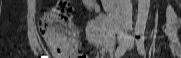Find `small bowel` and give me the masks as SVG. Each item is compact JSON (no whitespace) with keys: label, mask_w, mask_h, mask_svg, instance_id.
<instances>
[{"label":"small bowel","mask_w":181,"mask_h":58,"mask_svg":"<svg viewBox=\"0 0 181 58\" xmlns=\"http://www.w3.org/2000/svg\"><path fill=\"white\" fill-rule=\"evenodd\" d=\"M80 4L92 12H99L100 6L96 0H80ZM181 21L177 17L174 8L168 6L166 10V20L162 26L170 43V50L174 57H181V43L178 39Z\"/></svg>","instance_id":"1"}]
</instances>
